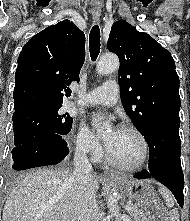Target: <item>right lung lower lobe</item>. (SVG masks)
Instances as JSON below:
<instances>
[{"mask_svg": "<svg viewBox=\"0 0 190 221\" xmlns=\"http://www.w3.org/2000/svg\"><path fill=\"white\" fill-rule=\"evenodd\" d=\"M66 134L44 133L33 137L12 150L14 170H25L61 162L69 153Z\"/></svg>", "mask_w": 190, "mask_h": 221, "instance_id": "obj_1", "label": "right lung lower lobe"}]
</instances>
